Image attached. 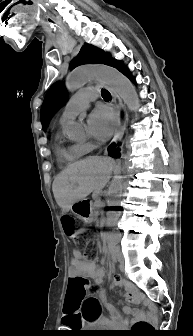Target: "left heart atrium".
<instances>
[{
	"label": "left heart atrium",
	"instance_id": "left-heart-atrium-1",
	"mask_svg": "<svg viewBox=\"0 0 193 336\" xmlns=\"http://www.w3.org/2000/svg\"><path fill=\"white\" fill-rule=\"evenodd\" d=\"M114 115L106 108L94 110L88 117L87 127L89 133L96 139L104 141L108 139L115 129Z\"/></svg>",
	"mask_w": 193,
	"mask_h": 336
}]
</instances>
